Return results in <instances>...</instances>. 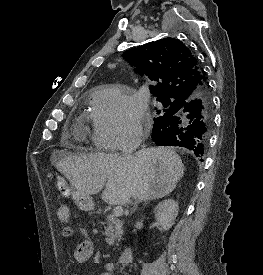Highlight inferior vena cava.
Masks as SVG:
<instances>
[{
  "instance_id": "1",
  "label": "inferior vena cava",
  "mask_w": 263,
  "mask_h": 275,
  "mask_svg": "<svg viewBox=\"0 0 263 275\" xmlns=\"http://www.w3.org/2000/svg\"><path fill=\"white\" fill-rule=\"evenodd\" d=\"M135 149H136L135 146H127L126 148L123 149L122 157L126 163H132L134 158L133 152Z\"/></svg>"
}]
</instances>
